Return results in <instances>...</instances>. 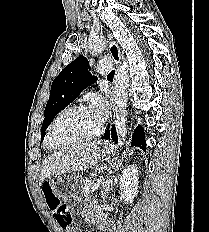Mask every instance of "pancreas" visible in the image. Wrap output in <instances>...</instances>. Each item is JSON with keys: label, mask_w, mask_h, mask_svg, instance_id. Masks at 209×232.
<instances>
[{"label": "pancreas", "mask_w": 209, "mask_h": 232, "mask_svg": "<svg viewBox=\"0 0 209 232\" xmlns=\"http://www.w3.org/2000/svg\"><path fill=\"white\" fill-rule=\"evenodd\" d=\"M93 187V181L91 179H83L82 181V192L85 195H88L91 193V188Z\"/></svg>", "instance_id": "obj_1"}]
</instances>
